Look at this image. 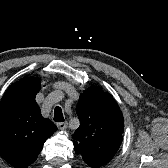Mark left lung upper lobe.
Segmentation results:
<instances>
[{
  "label": "left lung upper lobe",
  "mask_w": 168,
  "mask_h": 168,
  "mask_svg": "<svg viewBox=\"0 0 168 168\" xmlns=\"http://www.w3.org/2000/svg\"><path fill=\"white\" fill-rule=\"evenodd\" d=\"M76 112L80 126L73 135L75 152L98 168L113 158L122 143L123 115L114 98L97 86L80 95Z\"/></svg>",
  "instance_id": "left-lung-upper-lobe-1"
}]
</instances>
